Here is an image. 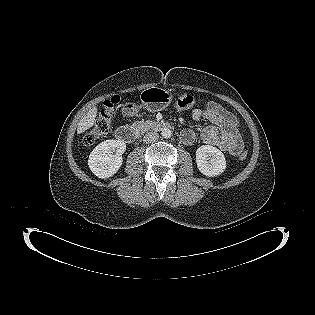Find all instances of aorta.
<instances>
[{
  "label": "aorta",
  "instance_id": "aorta-1",
  "mask_svg": "<svg viewBox=\"0 0 315 315\" xmlns=\"http://www.w3.org/2000/svg\"><path fill=\"white\" fill-rule=\"evenodd\" d=\"M161 135L163 138H170L172 135V131L168 128L162 130Z\"/></svg>",
  "mask_w": 315,
  "mask_h": 315
}]
</instances>
